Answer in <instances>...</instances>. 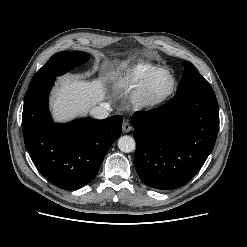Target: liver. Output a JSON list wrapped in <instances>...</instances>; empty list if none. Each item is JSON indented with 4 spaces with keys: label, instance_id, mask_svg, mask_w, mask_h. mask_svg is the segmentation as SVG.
<instances>
[{
    "label": "liver",
    "instance_id": "1",
    "mask_svg": "<svg viewBox=\"0 0 247 247\" xmlns=\"http://www.w3.org/2000/svg\"><path fill=\"white\" fill-rule=\"evenodd\" d=\"M106 88L102 79L86 82L78 76L60 79L51 100L55 121H66L87 112L104 99Z\"/></svg>",
    "mask_w": 247,
    "mask_h": 247
}]
</instances>
